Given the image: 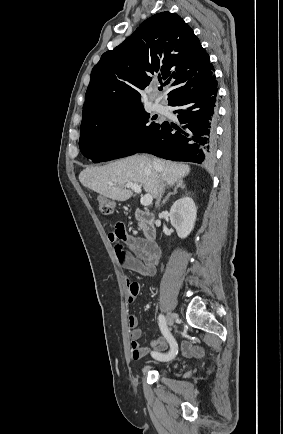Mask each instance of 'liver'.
<instances>
[{"label": "liver", "mask_w": 283, "mask_h": 434, "mask_svg": "<svg viewBox=\"0 0 283 434\" xmlns=\"http://www.w3.org/2000/svg\"><path fill=\"white\" fill-rule=\"evenodd\" d=\"M189 172L190 167L186 164L133 155L105 166L86 167L80 172L79 181L106 198L126 201L133 195L132 190L126 189L128 183L140 185L145 192L157 198L162 181L172 186Z\"/></svg>", "instance_id": "6515ba94"}]
</instances>
